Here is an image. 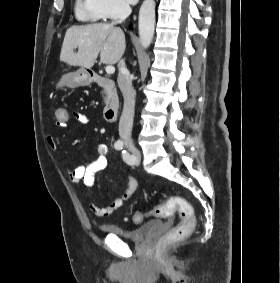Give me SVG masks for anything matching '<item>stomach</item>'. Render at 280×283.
<instances>
[{
	"label": "stomach",
	"mask_w": 280,
	"mask_h": 283,
	"mask_svg": "<svg viewBox=\"0 0 280 283\" xmlns=\"http://www.w3.org/2000/svg\"><path fill=\"white\" fill-rule=\"evenodd\" d=\"M91 82V75L85 68L71 73H67L62 76L59 82L56 84V88H62L64 86L74 88L78 86H86Z\"/></svg>",
	"instance_id": "stomach-1"
}]
</instances>
